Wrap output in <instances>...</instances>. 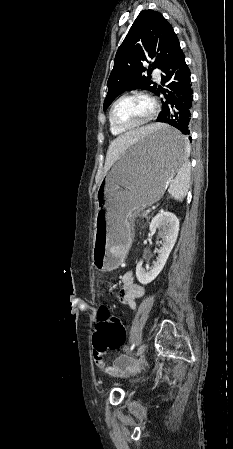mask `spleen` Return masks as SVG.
<instances>
[{
    "label": "spleen",
    "mask_w": 233,
    "mask_h": 449,
    "mask_svg": "<svg viewBox=\"0 0 233 449\" xmlns=\"http://www.w3.org/2000/svg\"><path fill=\"white\" fill-rule=\"evenodd\" d=\"M190 151V146L188 144V152ZM190 174L191 167L186 160L178 169L176 177L171 181L169 187V193L177 201H183L187 195L189 185H190Z\"/></svg>",
    "instance_id": "1"
}]
</instances>
